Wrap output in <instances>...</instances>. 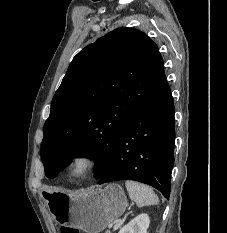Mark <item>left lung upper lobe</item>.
Instances as JSON below:
<instances>
[{
  "label": "left lung upper lobe",
  "mask_w": 227,
  "mask_h": 233,
  "mask_svg": "<svg viewBox=\"0 0 227 233\" xmlns=\"http://www.w3.org/2000/svg\"><path fill=\"white\" fill-rule=\"evenodd\" d=\"M165 84L158 47L139 30L115 29L81 50L44 124L46 176L56 177L74 157H89L97 159L100 179L124 128Z\"/></svg>",
  "instance_id": "obj_1"
}]
</instances>
